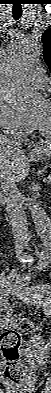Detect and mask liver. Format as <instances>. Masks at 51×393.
Listing matches in <instances>:
<instances>
[{
	"label": "liver",
	"mask_w": 51,
	"mask_h": 393,
	"mask_svg": "<svg viewBox=\"0 0 51 393\" xmlns=\"http://www.w3.org/2000/svg\"><path fill=\"white\" fill-rule=\"evenodd\" d=\"M50 145L43 147L42 153L50 156ZM30 157L23 150L19 151L13 140L0 136V183L5 181L20 182L26 178L30 170Z\"/></svg>",
	"instance_id": "1"
}]
</instances>
